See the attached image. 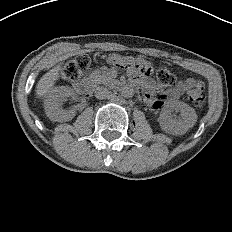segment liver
Here are the masks:
<instances>
[{
    "label": "liver",
    "instance_id": "liver-1",
    "mask_svg": "<svg viewBox=\"0 0 232 232\" xmlns=\"http://www.w3.org/2000/svg\"><path fill=\"white\" fill-rule=\"evenodd\" d=\"M60 70V65L55 66L40 78L35 90V94L37 97L45 96L48 93V91L54 86Z\"/></svg>",
    "mask_w": 232,
    "mask_h": 232
}]
</instances>
